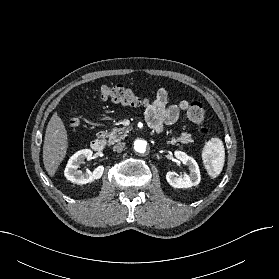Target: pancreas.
<instances>
[{
  "label": "pancreas",
  "instance_id": "obj_1",
  "mask_svg": "<svg viewBox=\"0 0 279 279\" xmlns=\"http://www.w3.org/2000/svg\"><path fill=\"white\" fill-rule=\"evenodd\" d=\"M127 135V129L125 128H117L114 127L109 132H102L100 135L102 138H106L108 140L109 144H115L117 142H120L122 139H124ZM191 135L187 132H183L180 137H172L169 139L168 143L172 145H179L180 143H189L192 142Z\"/></svg>",
  "mask_w": 279,
  "mask_h": 279
}]
</instances>
